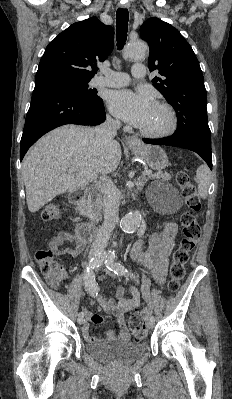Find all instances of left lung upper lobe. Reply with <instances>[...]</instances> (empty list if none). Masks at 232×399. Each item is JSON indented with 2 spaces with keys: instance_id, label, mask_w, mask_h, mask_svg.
Segmentation results:
<instances>
[{
  "instance_id": "5c2ea615",
  "label": "left lung upper lobe",
  "mask_w": 232,
  "mask_h": 399,
  "mask_svg": "<svg viewBox=\"0 0 232 399\" xmlns=\"http://www.w3.org/2000/svg\"><path fill=\"white\" fill-rule=\"evenodd\" d=\"M140 33L150 47L149 70L161 75L153 85L176 110L174 135L211 145L204 78L191 46L176 28L156 17L145 21Z\"/></svg>"
}]
</instances>
